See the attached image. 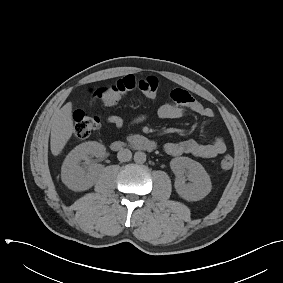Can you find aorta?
Here are the masks:
<instances>
[{"label":"aorta","mask_w":283,"mask_h":283,"mask_svg":"<svg viewBox=\"0 0 283 283\" xmlns=\"http://www.w3.org/2000/svg\"><path fill=\"white\" fill-rule=\"evenodd\" d=\"M134 161L139 164L144 163L146 161V154L142 151H137L134 154Z\"/></svg>","instance_id":"aorta-1"}]
</instances>
